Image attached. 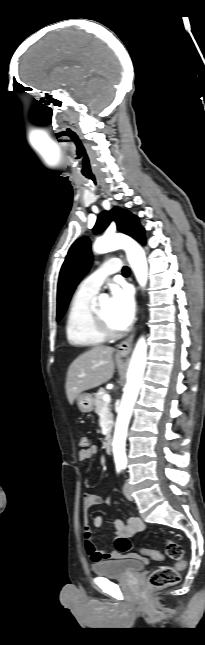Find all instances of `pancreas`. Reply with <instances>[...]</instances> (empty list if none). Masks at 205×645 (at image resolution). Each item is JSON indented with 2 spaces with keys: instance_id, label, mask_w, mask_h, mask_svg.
<instances>
[{
  "instance_id": "pancreas-1",
  "label": "pancreas",
  "mask_w": 205,
  "mask_h": 645,
  "mask_svg": "<svg viewBox=\"0 0 205 645\" xmlns=\"http://www.w3.org/2000/svg\"><path fill=\"white\" fill-rule=\"evenodd\" d=\"M106 393H107L106 390L103 389V388H100L98 390V392L95 393V397H94L95 413H97L98 415L101 413L103 407H105L107 405V403L103 400V396ZM107 415H108V419H109L110 423H112L113 414L111 413L110 408H108V414ZM111 428H112V426L110 425L109 431H111Z\"/></svg>"
}]
</instances>
